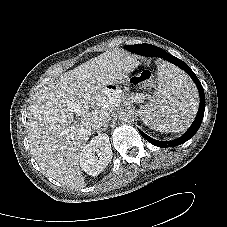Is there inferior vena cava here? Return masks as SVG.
Here are the masks:
<instances>
[{"instance_id": "1", "label": "inferior vena cava", "mask_w": 227, "mask_h": 227, "mask_svg": "<svg viewBox=\"0 0 227 227\" xmlns=\"http://www.w3.org/2000/svg\"><path fill=\"white\" fill-rule=\"evenodd\" d=\"M110 120V117L109 116H106V117H98L96 119V121L94 122L93 124V128L95 130L100 131L102 129V127H105L106 125H108V122Z\"/></svg>"}]
</instances>
